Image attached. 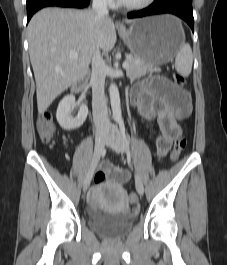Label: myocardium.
I'll return each instance as SVG.
<instances>
[{"label": "myocardium", "mask_w": 227, "mask_h": 265, "mask_svg": "<svg viewBox=\"0 0 227 265\" xmlns=\"http://www.w3.org/2000/svg\"><path fill=\"white\" fill-rule=\"evenodd\" d=\"M154 1L155 0H144L143 2L138 3V4H126L123 1L118 0V4L120 7L126 10L138 11V10H142V9L149 7Z\"/></svg>", "instance_id": "obj_1"}]
</instances>
